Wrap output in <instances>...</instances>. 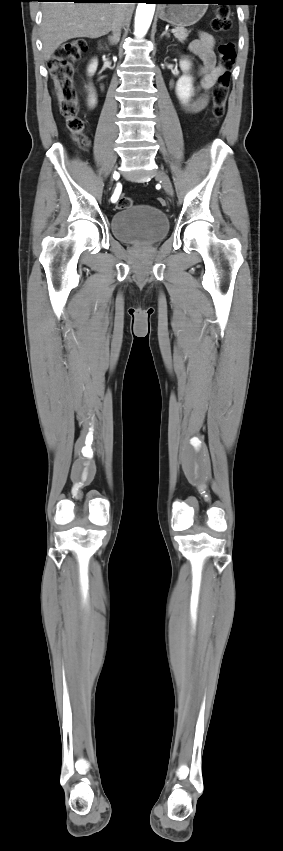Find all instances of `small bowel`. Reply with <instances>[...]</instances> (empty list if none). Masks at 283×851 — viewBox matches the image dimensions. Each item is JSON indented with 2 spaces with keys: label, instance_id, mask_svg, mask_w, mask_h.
Wrapping results in <instances>:
<instances>
[{
  "label": "small bowel",
  "instance_id": "1",
  "mask_svg": "<svg viewBox=\"0 0 283 851\" xmlns=\"http://www.w3.org/2000/svg\"><path fill=\"white\" fill-rule=\"evenodd\" d=\"M190 49L202 61L199 71L201 77L199 89L203 93L195 101L182 104V109L188 113H197L207 106L209 102L207 92L214 86L218 79L221 73V67L217 63L214 51V38L210 33L200 32L198 38L191 42Z\"/></svg>",
  "mask_w": 283,
  "mask_h": 851
}]
</instances>
